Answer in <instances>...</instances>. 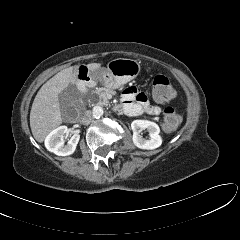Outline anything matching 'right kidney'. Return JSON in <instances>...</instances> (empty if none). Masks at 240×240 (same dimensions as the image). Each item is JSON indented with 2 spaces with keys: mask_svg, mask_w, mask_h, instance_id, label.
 <instances>
[{
  "mask_svg": "<svg viewBox=\"0 0 240 240\" xmlns=\"http://www.w3.org/2000/svg\"><path fill=\"white\" fill-rule=\"evenodd\" d=\"M67 131V126H60L51 131L45 138V147L47 150L58 156H68L73 154L79 142L80 135H73L68 143L64 145L63 137Z\"/></svg>",
  "mask_w": 240,
  "mask_h": 240,
  "instance_id": "obj_1",
  "label": "right kidney"
}]
</instances>
